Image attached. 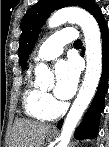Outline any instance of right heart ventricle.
<instances>
[{
    "instance_id": "e07e8e85",
    "label": "right heart ventricle",
    "mask_w": 109,
    "mask_h": 147,
    "mask_svg": "<svg viewBox=\"0 0 109 147\" xmlns=\"http://www.w3.org/2000/svg\"><path fill=\"white\" fill-rule=\"evenodd\" d=\"M23 106L28 116L44 121L52 118L57 109L48 107L44 92L33 82L31 71H28L23 92Z\"/></svg>"
}]
</instances>
